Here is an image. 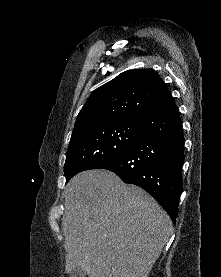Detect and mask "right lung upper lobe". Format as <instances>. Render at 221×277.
I'll use <instances>...</instances> for the list:
<instances>
[{
  "label": "right lung upper lobe",
  "instance_id": "cb5924a9",
  "mask_svg": "<svg viewBox=\"0 0 221 277\" xmlns=\"http://www.w3.org/2000/svg\"><path fill=\"white\" fill-rule=\"evenodd\" d=\"M171 99L155 70L125 71L90 95L77 116L72 135L100 125L138 121Z\"/></svg>",
  "mask_w": 221,
  "mask_h": 277
}]
</instances>
